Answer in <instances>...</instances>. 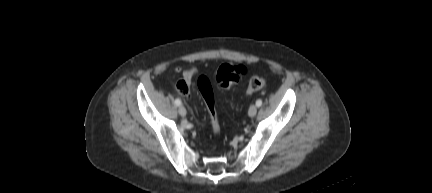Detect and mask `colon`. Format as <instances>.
Masks as SVG:
<instances>
[{"label":"colon","instance_id":"obj_1","mask_svg":"<svg viewBox=\"0 0 432 193\" xmlns=\"http://www.w3.org/2000/svg\"><path fill=\"white\" fill-rule=\"evenodd\" d=\"M246 73V68L241 65H222L216 73V82L222 88H228L236 84ZM265 85V79L261 76H253L248 83L247 93H254L261 90ZM198 87L207 106L211 127L214 133L220 132V118L216 109V103L212 85L209 79L201 76L198 80Z\"/></svg>","mask_w":432,"mask_h":193}]
</instances>
